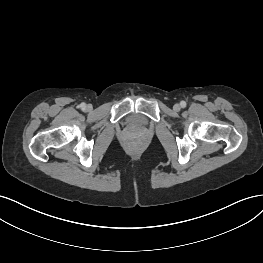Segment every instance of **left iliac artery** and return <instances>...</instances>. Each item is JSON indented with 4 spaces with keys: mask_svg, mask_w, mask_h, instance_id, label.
<instances>
[{
    "mask_svg": "<svg viewBox=\"0 0 263 263\" xmlns=\"http://www.w3.org/2000/svg\"><path fill=\"white\" fill-rule=\"evenodd\" d=\"M180 105H181L182 108H184V107H186V102L185 101H181Z\"/></svg>",
    "mask_w": 263,
    "mask_h": 263,
    "instance_id": "obj_1",
    "label": "left iliac artery"
}]
</instances>
